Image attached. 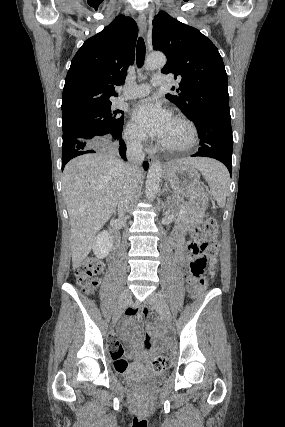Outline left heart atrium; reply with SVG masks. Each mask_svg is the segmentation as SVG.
<instances>
[{
    "mask_svg": "<svg viewBox=\"0 0 285 427\" xmlns=\"http://www.w3.org/2000/svg\"><path fill=\"white\" fill-rule=\"evenodd\" d=\"M133 117L149 135L162 141L172 120L171 114L154 99L140 101L133 110Z\"/></svg>",
    "mask_w": 285,
    "mask_h": 427,
    "instance_id": "obj_1",
    "label": "left heart atrium"
}]
</instances>
